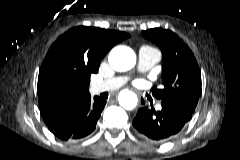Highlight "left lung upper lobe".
Instances as JSON below:
<instances>
[{
	"label": "left lung upper lobe",
	"instance_id": "obj_1",
	"mask_svg": "<svg viewBox=\"0 0 240 160\" xmlns=\"http://www.w3.org/2000/svg\"><path fill=\"white\" fill-rule=\"evenodd\" d=\"M142 35L157 44L163 54L162 88H154L153 95L161 104L193 114L201 96V73L192 51L170 30L152 28Z\"/></svg>",
	"mask_w": 240,
	"mask_h": 160
}]
</instances>
